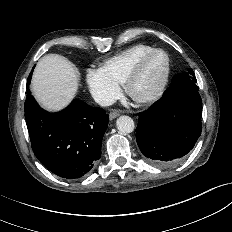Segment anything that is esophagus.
Masks as SVG:
<instances>
[{
	"label": "esophagus",
	"instance_id": "obj_1",
	"mask_svg": "<svg viewBox=\"0 0 232 232\" xmlns=\"http://www.w3.org/2000/svg\"><path fill=\"white\" fill-rule=\"evenodd\" d=\"M118 116H119V112H117V111H112V112H110V114H109L110 120H113V119H115V118L118 117Z\"/></svg>",
	"mask_w": 232,
	"mask_h": 232
}]
</instances>
